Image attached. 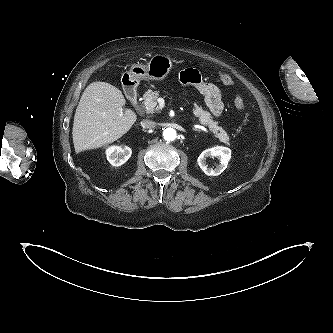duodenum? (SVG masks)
Returning <instances> with one entry per match:
<instances>
[{
	"label": "duodenum",
	"instance_id": "1",
	"mask_svg": "<svg viewBox=\"0 0 333 333\" xmlns=\"http://www.w3.org/2000/svg\"><path fill=\"white\" fill-rule=\"evenodd\" d=\"M124 89L127 98L130 100V102L134 105H138V98H137V90L136 85L134 81L130 78H126L124 81Z\"/></svg>",
	"mask_w": 333,
	"mask_h": 333
}]
</instances>
